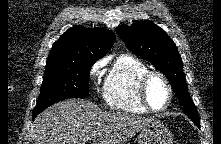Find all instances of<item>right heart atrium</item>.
<instances>
[{"instance_id": "right-heart-atrium-1", "label": "right heart atrium", "mask_w": 221, "mask_h": 144, "mask_svg": "<svg viewBox=\"0 0 221 144\" xmlns=\"http://www.w3.org/2000/svg\"><path fill=\"white\" fill-rule=\"evenodd\" d=\"M102 67H103V61L96 62L90 70V76L92 78H96L100 74Z\"/></svg>"}]
</instances>
